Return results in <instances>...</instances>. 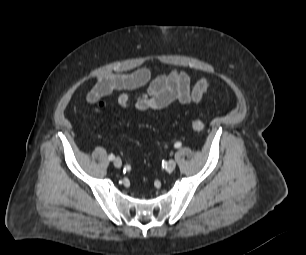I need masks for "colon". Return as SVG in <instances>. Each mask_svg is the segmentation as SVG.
<instances>
[{
	"instance_id": "1",
	"label": "colon",
	"mask_w": 306,
	"mask_h": 255,
	"mask_svg": "<svg viewBox=\"0 0 306 255\" xmlns=\"http://www.w3.org/2000/svg\"><path fill=\"white\" fill-rule=\"evenodd\" d=\"M106 106H107V103L104 100H98L95 103V108L97 110H102ZM191 126H192V129H193L194 132L200 133V132H202L204 130L205 123H204V121L201 118L195 117V118L192 119Z\"/></svg>"
}]
</instances>
